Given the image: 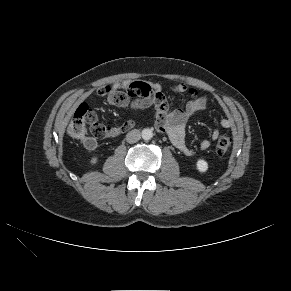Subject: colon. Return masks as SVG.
<instances>
[{
    "label": "colon",
    "mask_w": 291,
    "mask_h": 291,
    "mask_svg": "<svg viewBox=\"0 0 291 291\" xmlns=\"http://www.w3.org/2000/svg\"><path fill=\"white\" fill-rule=\"evenodd\" d=\"M133 123L127 121L120 126L106 127L97 122L96 114L85 103L81 104L75 111L68 127V134L77 140H81L84 145L92 146L95 138H109L117 136L132 127ZM231 136L227 132L219 134L215 153L223 156L231 146Z\"/></svg>",
    "instance_id": "1"
}]
</instances>
